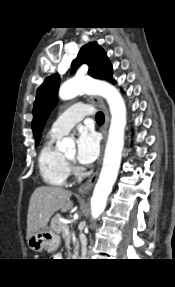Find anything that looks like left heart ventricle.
Listing matches in <instances>:
<instances>
[{"instance_id":"obj_1","label":"left heart ventricle","mask_w":175,"mask_h":287,"mask_svg":"<svg viewBox=\"0 0 175 287\" xmlns=\"http://www.w3.org/2000/svg\"><path fill=\"white\" fill-rule=\"evenodd\" d=\"M66 156L70 159H73L75 156V152H71V153L67 154Z\"/></svg>"}]
</instances>
